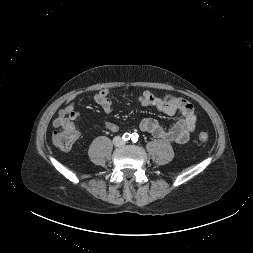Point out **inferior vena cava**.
<instances>
[{
	"label": "inferior vena cava",
	"instance_id": "inferior-vena-cava-1",
	"mask_svg": "<svg viewBox=\"0 0 253 253\" xmlns=\"http://www.w3.org/2000/svg\"><path fill=\"white\" fill-rule=\"evenodd\" d=\"M115 145H120V143H115Z\"/></svg>",
	"mask_w": 253,
	"mask_h": 253
}]
</instances>
